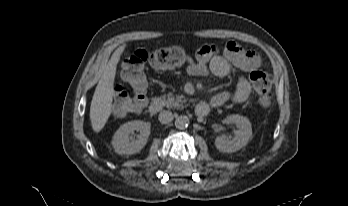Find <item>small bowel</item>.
<instances>
[{
	"instance_id": "c3829d8e",
	"label": "small bowel",
	"mask_w": 348,
	"mask_h": 206,
	"mask_svg": "<svg viewBox=\"0 0 348 206\" xmlns=\"http://www.w3.org/2000/svg\"><path fill=\"white\" fill-rule=\"evenodd\" d=\"M197 52L199 54L195 60L188 58L186 62V72L190 75L202 76L211 71L217 77H226L231 74L232 67L251 71L260 66L258 54L236 42H228L222 54L210 45L201 46ZM250 93L251 85L247 78L238 76L235 90L216 94L211 100V105L216 108L227 102L243 103Z\"/></svg>"
}]
</instances>
